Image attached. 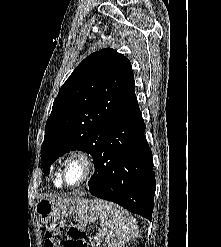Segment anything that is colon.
<instances>
[{
	"mask_svg": "<svg viewBox=\"0 0 221 247\" xmlns=\"http://www.w3.org/2000/svg\"><path fill=\"white\" fill-rule=\"evenodd\" d=\"M44 247H87L86 232L77 220L50 222Z\"/></svg>",
	"mask_w": 221,
	"mask_h": 247,
	"instance_id": "1",
	"label": "colon"
}]
</instances>
